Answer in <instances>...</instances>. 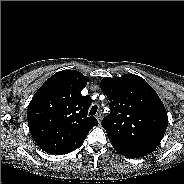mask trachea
I'll list each match as a JSON object with an SVG mask.
<instances>
[{
  "label": "trachea",
  "mask_w": 184,
  "mask_h": 184,
  "mask_svg": "<svg viewBox=\"0 0 184 184\" xmlns=\"http://www.w3.org/2000/svg\"><path fill=\"white\" fill-rule=\"evenodd\" d=\"M98 107L96 105L92 106L89 115L93 116L96 114Z\"/></svg>",
  "instance_id": "3493384b"
}]
</instances>
